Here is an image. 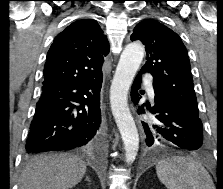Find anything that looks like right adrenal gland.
<instances>
[{"label":"right adrenal gland","instance_id":"1","mask_svg":"<svg viewBox=\"0 0 223 189\" xmlns=\"http://www.w3.org/2000/svg\"><path fill=\"white\" fill-rule=\"evenodd\" d=\"M86 181L90 182V180H89V178H88V177H86Z\"/></svg>","mask_w":223,"mask_h":189}]
</instances>
